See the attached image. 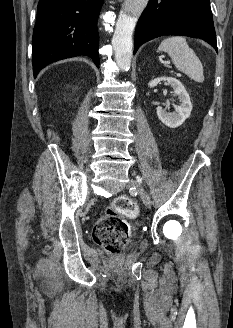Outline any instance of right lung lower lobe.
<instances>
[{"label": "right lung lower lobe", "instance_id": "98d812e1", "mask_svg": "<svg viewBox=\"0 0 233 328\" xmlns=\"http://www.w3.org/2000/svg\"><path fill=\"white\" fill-rule=\"evenodd\" d=\"M104 0H40L32 39L33 74L48 64L89 56L99 67L97 20Z\"/></svg>", "mask_w": 233, "mask_h": 328}]
</instances>
